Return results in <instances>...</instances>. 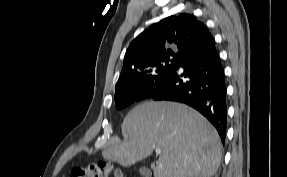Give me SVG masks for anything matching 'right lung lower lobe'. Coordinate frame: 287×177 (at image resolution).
<instances>
[{"mask_svg":"<svg viewBox=\"0 0 287 177\" xmlns=\"http://www.w3.org/2000/svg\"><path fill=\"white\" fill-rule=\"evenodd\" d=\"M178 60L173 71L147 88L138 100L149 98L185 103L202 113L215 126L224 142L227 126L226 84L209 30L188 44Z\"/></svg>","mask_w":287,"mask_h":177,"instance_id":"obj_1","label":"right lung lower lobe"}]
</instances>
